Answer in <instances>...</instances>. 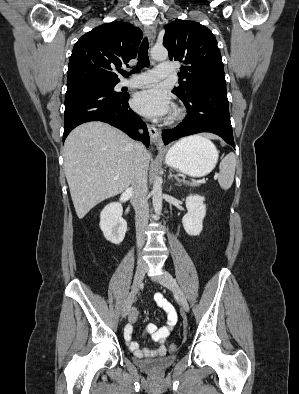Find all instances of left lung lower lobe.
<instances>
[{"label":"left lung lower lobe","mask_w":299,"mask_h":394,"mask_svg":"<svg viewBox=\"0 0 299 394\" xmlns=\"http://www.w3.org/2000/svg\"><path fill=\"white\" fill-rule=\"evenodd\" d=\"M182 101L187 108V116L177 127L163 130L164 144L184 136L211 132L235 148L226 85L210 84L195 87L191 95Z\"/></svg>","instance_id":"obj_1"}]
</instances>
